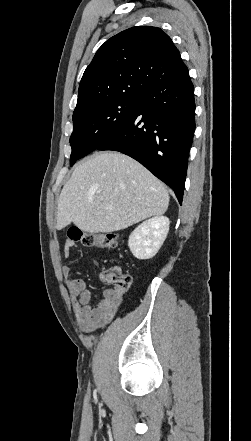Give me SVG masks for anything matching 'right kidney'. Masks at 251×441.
<instances>
[{"label":"right kidney","instance_id":"ca27d5eb","mask_svg":"<svg viewBox=\"0 0 251 441\" xmlns=\"http://www.w3.org/2000/svg\"><path fill=\"white\" fill-rule=\"evenodd\" d=\"M170 221L165 216H156L144 221L129 236L128 246L140 260L155 256L169 231Z\"/></svg>","mask_w":251,"mask_h":441}]
</instances>
